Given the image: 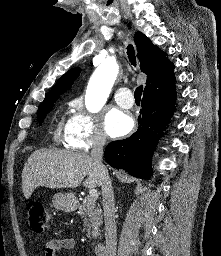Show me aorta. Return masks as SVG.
Masks as SVG:
<instances>
[{"label": "aorta", "mask_w": 221, "mask_h": 256, "mask_svg": "<svg viewBox=\"0 0 221 256\" xmlns=\"http://www.w3.org/2000/svg\"><path fill=\"white\" fill-rule=\"evenodd\" d=\"M115 61L106 60L92 74L85 96V105L90 112H98L104 106L118 74Z\"/></svg>", "instance_id": "762f6f07"}]
</instances>
